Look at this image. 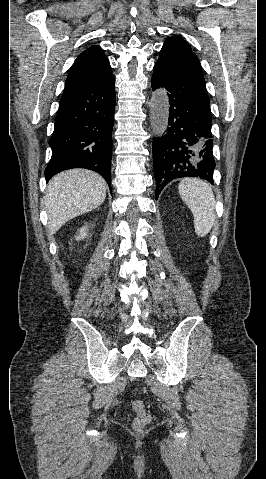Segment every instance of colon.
Masks as SVG:
<instances>
[{"instance_id":"colon-1","label":"colon","mask_w":266,"mask_h":479,"mask_svg":"<svg viewBox=\"0 0 266 479\" xmlns=\"http://www.w3.org/2000/svg\"><path fill=\"white\" fill-rule=\"evenodd\" d=\"M134 412L133 427L137 431H141L151 420L150 413L146 410L144 403L141 400H134L131 404Z\"/></svg>"}]
</instances>
